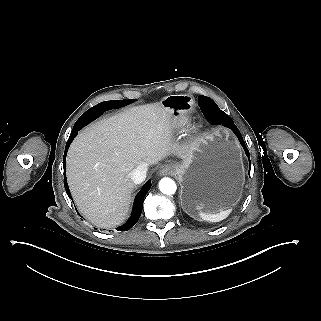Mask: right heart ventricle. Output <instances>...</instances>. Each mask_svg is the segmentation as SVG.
Listing matches in <instances>:
<instances>
[{"mask_svg":"<svg viewBox=\"0 0 321 321\" xmlns=\"http://www.w3.org/2000/svg\"><path fill=\"white\" fill-rule=\"evenodd\" d=\"M191 119V115L186 112L172 114L165 123L166 130L182 129Z\"/></svg>","mask_w":321,"mask_h":321,"instance_id":"1","label":"right heart ventricle"}]
</instances>
